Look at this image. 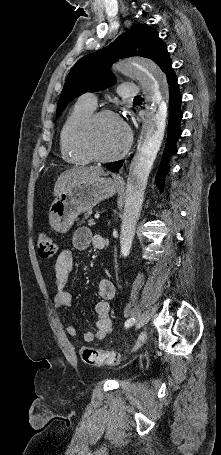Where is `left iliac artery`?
I'll use <instances>...</instances> for the list:
<instances>
[{
    "instance_id": "left-iliac-artery-1",
    "label": "left iliac artery",
    "mask_w": 221,
    "mask_h": 455,
    "mask_svg": "<svg viewBox=\"0 0 221 455\" xmlns=\"http://www.w3.org/2000/svg\"><path fill=\"white\" fill-rule=\"evenodd\" d=\"M134 323H135V319H134V318H131V319H129V320H127V321L125 322V327H126V328H129V327H131Z\"/></svg>"
}]
</instances>
